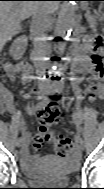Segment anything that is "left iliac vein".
Wrapping results in <instances>:
<instances>
[{
    "label": "left iliac vein",
    "mask_w": 104,
    "mask_h": 189,
    "mask_svg": "<svg viewBox=\"0 0 104 189\" xmlns=\"http://www.w3.org/2000/svg\"><path fill=\"white\" fill-rule=\"evenodd\" d=\"M84 147H85V145H84V143H83V140H82V141L79 140V142H78V149H79L80 151H82V150H84Z\"/></svg>",
    "instance_id": "4c4485c4"
}]
</instances>
